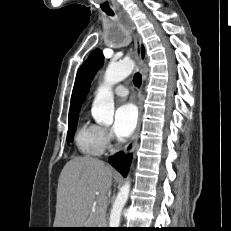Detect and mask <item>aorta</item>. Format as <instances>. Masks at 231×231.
<instances>
[{
	"mask_svg": "<svg viewBox=\"0 0 231 231\" xmlns=\"http://www.w3.org/2000/svg\"><path fill=\"white\" fill-rule=\"evenodd\" d=\"M134 67L135 63L130 59H124L119 62L112 61L108 65L104 76V83L98 89L92 106V116L97 123L106 125L113 123L114 98L111 88L128 77ZM129 191L130 181L127 180L120 188L113 204L109 218L110 228L119 227L121 212L128 199Z\"/></svg>",
	"mask_w": 231,
	"mask_h": 231,
	"instance_id": "1",
	"label": "aorta"
}]
</instances>
